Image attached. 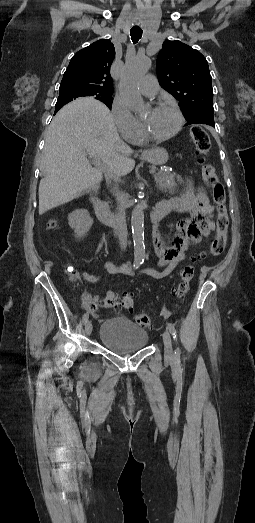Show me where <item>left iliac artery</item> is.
Masks as SVG:
<instances>
[{
    "mask_svg": "<svg viewBox=\"0 0 255 523\" xmlns=\"http://www.w3.org/2000/svg\"><path fill=\"white\" fill-rule=\"evenodd\" d=\"M167 327H168V329H169V331H170V333H171L173 339H174L175 341H177V331H176L174 325L171 324V323H168ZM175 359H176L178 362L180 361V349H179V347H177L176 350H175Z\"/></svg>",
    "mask_w": 255,
    "mask_h": 523,
    "instance_id": "obj_1",
    "label": "left iliac artery"
}]
</instances>
